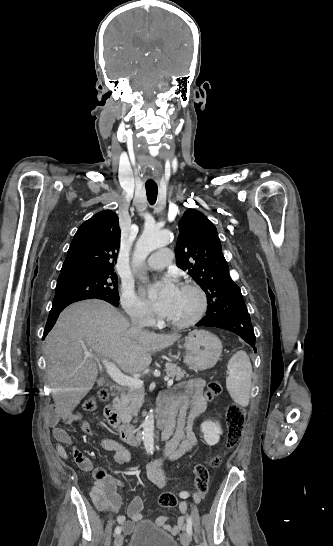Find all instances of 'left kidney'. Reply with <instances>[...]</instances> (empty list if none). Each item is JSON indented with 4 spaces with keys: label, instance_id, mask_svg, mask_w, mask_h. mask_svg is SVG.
<instances>
[{
    "label": "left kidney",
    "instance_id": "obj_1",
    "mask_svg": "<svg viewBox=\"0 0 333 546\" xmlns=\"http://www.w3.org/2000/svg\"><path fill=\"white\" fill-rule=\"evenodd\" d=\"M201 431L204 434L206 443L211 446L219 442L220 435L222 434L219 423L209 420L202 423Z\"/></svg>",
    "mask_w": 333,
    "mask_h": 546
}]
</instances>
